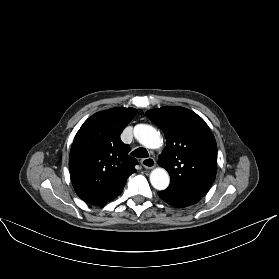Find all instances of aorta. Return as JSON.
Returning <instances> with one entry per match:
<instances>
[{
    "label": "aorta",
    "instance_id": "1",
    "mask_svg": "<svg viewBox=\"0 0 279 279\" xmlns=\"http://www.w3.org/2000/svg\"><path fill=\"white\" fill-rule=\"evenodd\" d=\"M134 136L139 143L150 149L159 148L162 143L160 133L150 125H137ZM150 183L157 190H165L170 183L169 174L164 168H156L150 173Z\"/></svg>",
    "mask_w": 279,
    "mask_h": 279
}]
</instances>
